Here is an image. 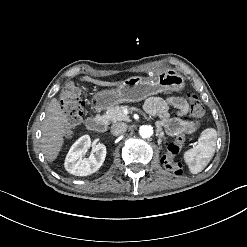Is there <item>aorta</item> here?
Masks as SVG:
<instances>
[{"instance_id":"obj_1","label":"aorta","mask_w":247,"mask_h":247,"mask_svg":"<svg viewBox=\"0 0 247 247\" xmlns=\"http://www.w3.org/2000/svg\"><path fill=\"white\" fill-rule=\"evenodd\" d=\"M139 133L142 138H149L153 134V127L150 125H143L140 127Z\"/></svg>"}]
</instances>
